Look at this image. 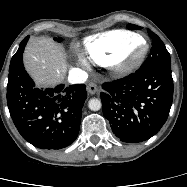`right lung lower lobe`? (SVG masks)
Returning a JSON list of instances; mask_svg holds the SVG:
<instances>
[{
    "instance_id": "obj_1",
    "label": "right lung lower lobe",
    "mask_w": 187,
    "mask_h": 187,
    "mask_svg": "<svg viewBox=\"0 0 187 187\" xmlns=\"http://www.w3.org/2000/svg\"><path fill=\"white\" fill-rule=\"evenodd\" d=\"M28 39L29 36L24 38L11 59L7 84L9 112L26 141L41 149H61L78 136L86 86L35 87L22 61Z\"/></svg>"
}]
</instances>
